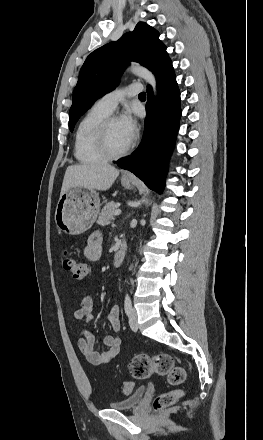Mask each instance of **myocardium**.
Listing matches in <instances>:
<instances>
[{
  "label": "myocardium",
  "mask_w": 263,
  "mask_h": 440,
  "mask_svg": "<svg viewBox=\"0 0 263 440\" xmlns=\"http://www.w3.org/2000/svg\"><path fill=\"white\" fill-rule=\"evenodd\" d=\"M118 119L116 115L109 114L105 118L102 119V121L99 123L97 130H96V136H95V142L96 147L98 151L106 158V159H118L121 157H124L129 153L133 146V142L131 141L129 145L124 148L123 150L119 152H114L110 149L108 144V128L110 123L113 120Z\"/></svg>",
  "instance_id": "1"
}]
</instances>
